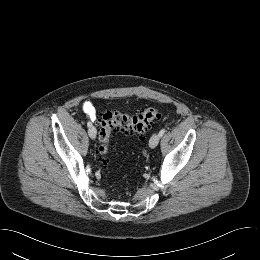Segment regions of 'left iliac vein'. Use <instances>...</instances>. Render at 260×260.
Returning a JSON list of instances; mask_svg holds the SVG:
<instances>
[{"label": "left iliac vein", "instance_id": "4c4485c4", "mask_svg": "<svg viewBox=\"0 0 260 260\" xmlns=\"http://www.w3.org/2000/svg\"><path fill=\"white\" fill-rule=\"evenodd\" d=\"M159 140H160L159 134L152 135V137L150 138V141H149V146L151 148H155L158 145Z\"/></svg>", "mask_w": 260, "mask_h": 260}]
</instances>
